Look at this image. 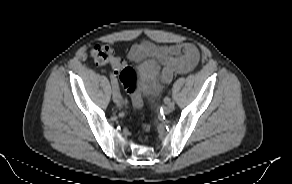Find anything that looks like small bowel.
<instances>
[{
	"label": "small bowel",
	"instance_id": "obj_1",
	"mask_svg": "<svg viewBox=\"0 0 292 184\" xmlns=\"http://www.w3.org/2000/svg\"><path fill=\"white\" fill-rule=\"evenodd\" d=\"M127 56L136 63L147 58H154L160 62L164 66L159 75V80L163 84L169 83L176 74L189 73L199 61V51L191 43L156 45L149 41H143L134 44ZM110 64L116 73L126 66L125 61L119 57H114Z\"/></svg>",
	"mask_w": 292,
	"mask_h": 184
}]
</instances>
